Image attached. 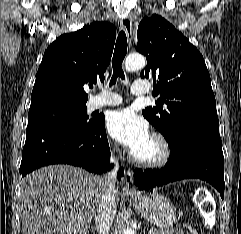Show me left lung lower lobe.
Returning a JSON list of instances; mask_svg holds the SVG:
<instances>
[{
    "label": "left lung lower lobe",
    "instance_id": "0a47b994",
    "mask_svg": "<svg viewBox=\"0 0 241 234\" xmlns=\"http://www.w3.org/2000/svg\"><path fill=\"white\" fill-rule=\"evenodd\" d=\"M219 134L190 131L170 148L171 156L162 169H136L134 183L139 190L167 183L198 178L212 184L224 197V157Z\"/></svg>",
    "mask_w": 241,
    "mask_h": 234
}]
</instances>
